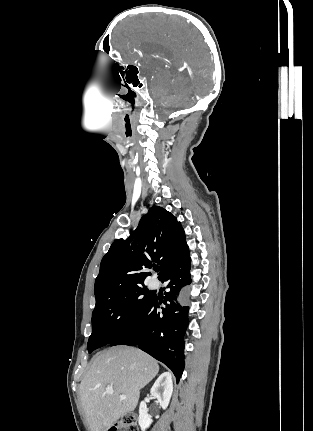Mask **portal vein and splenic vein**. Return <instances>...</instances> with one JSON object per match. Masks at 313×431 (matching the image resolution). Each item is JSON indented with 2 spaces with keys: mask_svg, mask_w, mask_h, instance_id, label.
<instances>
[{
  "mask_svg": "<svg viewBox=\"0 0 313 431\" xmlns=\"http://www.w3.org/2000/svg\"><path fill=\"white\" fill-rule=\"evenodd\" d=\"M106 392H107L108 394H113V393H114V390H113V388L107 387V388H106ZM121 399H126V396L121 395Z\"/></svg>",
  "mask_w": 313,
  "mask_h": 431,
  "instance_id": "18ae733b",
  "label": "portal vein and splenic vein"
}]
</instances>
